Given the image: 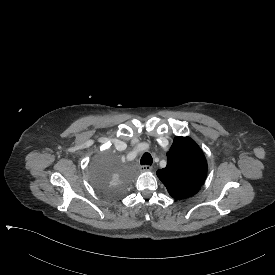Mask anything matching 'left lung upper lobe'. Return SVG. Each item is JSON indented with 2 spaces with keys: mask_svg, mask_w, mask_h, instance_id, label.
Masks as SVG:
<instances>
[{
  "mask_svg": "<svg viewBox=\"0 0 275 275\" xmlns=\"http://www.w3.org/2000/svg\"><path fill=\"white\" fill-rule=\"evenodd\" d=\"M207 161L200 147L189 137H175L167 152V166L158 178L175 199L195 195L205 181Z\"/></svg>",
  "mask_w": 275,
  "mask_h": 275,
  "instance_id": "5c2ea615",
  "label": "left lung upper lobe"
}]
</instances>
